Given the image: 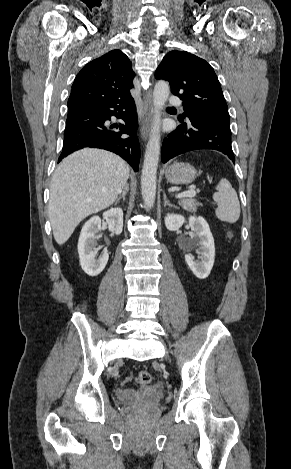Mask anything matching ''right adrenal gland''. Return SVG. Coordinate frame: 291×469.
I'll return each mask as SVG.
<instances>
[{"mask_svg":"<svg viewBox=\"0 0 291 469\" xmlns=\"http://www.w3.org/2000/svg\"><path fill=\"white\" fill-rule=\"evenodd\" d=\"M128 190H129V186H128V184H126L125 187L123 188L122 195H120V196L116 199L115 204H117L121 199L125 200V197H126V194H127Z\"/></svg>","mask_w":291,"mask_h":469,"instance_id":"2a0ac1e0","label":"right adrenal gland"}]
</instances>
